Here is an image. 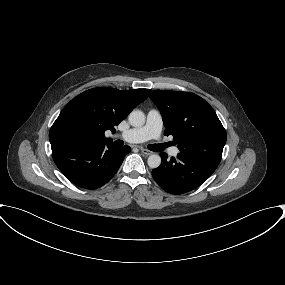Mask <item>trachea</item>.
I'll return each mask as SVG.
<instances>
[{
  "label": "trachea",
  "instance_id": "trachea-1",
  "mask_svg": "<svg viewBox=\"0 0 285 285\" xmlns=\"http://www.w3.org/2000/svg\"><path fill=\"white\" fill-rule=\"evenodd\" d=\"M164 147H165V145H163V144H153V145L149 146L150 150H152V151H159V150L163 149Z\"/></svg>",
  "mask_w": 285,
  "mask_h": 285
}]
</instances>
